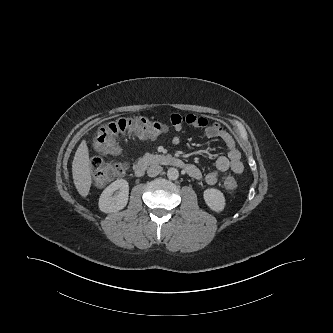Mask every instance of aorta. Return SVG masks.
<instances>
[{
    "label": "aorta",
    "mask_w": 333,
    "mask_h": 333,
    "mask_svg": "<svg viewBox=\"0 0 333 333\" xmlns=\"http://www.w3.org/2000/svg\"><path fill=\"white\" fill-rule=\"evenodd\" d=\"M167 177L170 180H177L179 177V171L176 168H169L167 171Z\"/></svg>",
    "instance_id": "762f6f07"
}]
</instances>
